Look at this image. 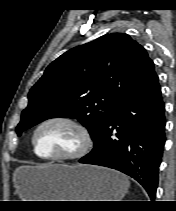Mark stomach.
<instances>
[{
	"mask_svg": "<svg viewBox=\"0 0 176 211\" xmlns=\"http://www.w3.org/2000/svg\"><path fill=\"white\" fill-rule=\"evenodd\" d=\"M14 182L23 201H121L129 188L122 173L93 165L21 167Z\"/></svg>",
	"mask_w": 176,
	"mask_h": 211,
	"instance_id": "0dacf381",
	"label": "stomach"
}]
</instances>
